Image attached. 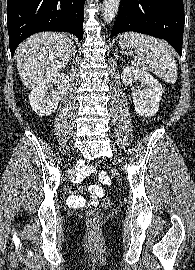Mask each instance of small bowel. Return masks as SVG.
<instances>
[{
  "instance_id": "c3829d8e",
  "label": "small bowel",
  "mask_w": 195,
  "mask_h": 270,
  "mask_svg": "<svg viewBox=\"0 0 195 270\" xmlns=\"http://www.w3.org/2000/svg\"><path fill=\"white\" fill-rule=\"evenodd\" d=\"M91 173H95L100 181V184H94L90 186L89 191L91 193V197L88 201L84 199L80 195L81 188L73 187L70 190V194L67 199V203L69 206L73 208H82L86 205H97L100 198H102L105 194L102 185L110 184V178L104 171L97 170L96 168L86 165L83 162H79L76 172L77 179H83L84 177L90 175Z\"/></svg>"
}]
</instances>
